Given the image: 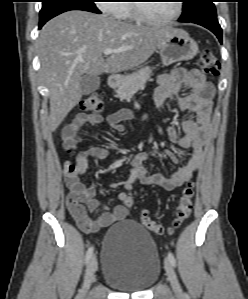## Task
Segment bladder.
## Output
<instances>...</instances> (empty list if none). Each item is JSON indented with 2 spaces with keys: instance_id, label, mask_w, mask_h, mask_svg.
<instances>
[{
  "instance_id": "obj_1",
  "label": "bladder",
  "mask_w": 248,
  "mask_h": 299,
  "mask_svg": "<svg viewBox=\"0 0 248 299\" xmlns=\"http://www.w3.org/2000/svg\"><path fill=\"white\" fill-rule=\"evenodd\" d=\"M160 259L156 244L140 224L121 221L106 233L102 247V278L125 292H140L156 282Z\"/></svg>"
}]
</instances>
